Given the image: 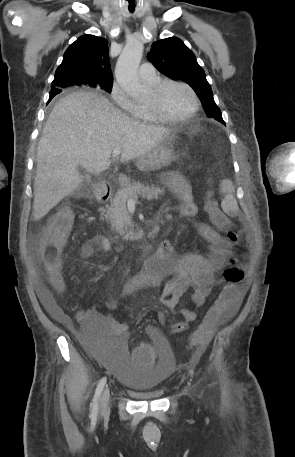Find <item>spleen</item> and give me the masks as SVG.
I'll return each mask as SVG.
<instances>
[{"instance_id":"spleen-1","label":"spleen","mask_w":295,"mask_h":457,"mask_svg":"<svg viewBox=\"0 0 295 457\" xmlns=\"http://www.w3.org/2000/svg\"><path fill=\"white\" fill-rule=\"evenodd\" d=\"M220 190L226 194L224 200L221 203L223 211L230 216L235 215L238 211V204L233 196V183L230 180H223L220 184Z\"/></svg>"}]
</instances>
